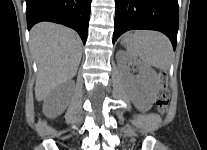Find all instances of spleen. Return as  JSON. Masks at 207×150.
<instances>
[{
	"label": "spleen",
	"instance_id": "obj_1",
	"mask_svg": "<svg viewBox=\"0 0 207 150\" xmlns=\"http://www.w3.org/2000/svg\"><path fill=\"white\" fill-rule=\"evenodd\" d=\"M127 52L139 57L147 65L167 71L170 68L173 49L170 40L162 33L139 30L130 36L126 44Z\"/></svg>",
	"mask_w": 207,
	"mask_h": 150
}]
</instances>
